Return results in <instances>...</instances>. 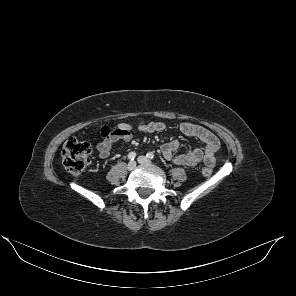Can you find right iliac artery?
Returning a JSON list of instances; mask_svg holds the SVG:
<instances>
[{"mask_svg": "<svg viewBox=\"0 0 296 296\" xmlns=\"http://www.w3.org/2000/svg\"><path fill=\"white\" fill-rule=\"evenodd\" d=\"M135 157H136V153H135V152H130V153L128 154V159L131 160V161L134 160Z\"/></svg>", "mask_w": 296, "mask_h": 296, "instance_id": "82829eb1", "label": "right iliac artery"}]
</instances>
